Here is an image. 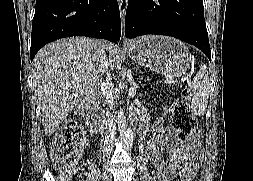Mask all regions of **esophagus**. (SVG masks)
Returning <instances> with one entry per match:
<instances>
[{
  "label": "esophagus",
  "mask_w": 253,
  "mask_h": 181,
  "mask_svg": "<svg viewBox=\"0 0 253 181\" xmlns=\"http://www.w3.org/2000/svg\"><path fill=\"white\" fill-rule=\"evenodd\" d=\"M119 3V9H120V16H121V26H122V33L124 28V21H125V15H126V9L128 5V0H118ZM124 41H126L125 37L123 36Z\"/></svg>",
  "instance_id": "34e87169"
}]
</instances>
